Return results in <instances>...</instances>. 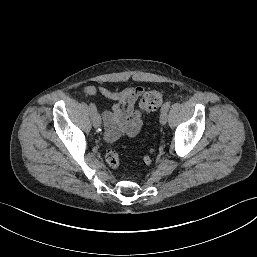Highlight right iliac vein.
<instances>
[{
    "label": "right iliac vein",
    "instance_id": "63e3f726",
    "mask_svg": "<svg viewBox=\"0 0 257 257\" xmlns=\"http://www.w3.org/2000/svg\"><path fill=\"white\" fill-rule=\"evenodd\" d=\"M93 126L95 128H99L101 126V117L98 113L93 117Z\"/></svg>",
    "mask_w": 257,
    "mask_h": 257
}]
</instances>
